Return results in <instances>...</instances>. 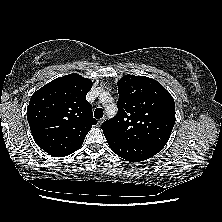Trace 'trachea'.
Listing matches in <instances>:
<instances>
[{"label": "trachea", "mask_w": 222, "mask_h": 222, "mask_svg": "<svg viewBox=\"0 0 222 222\" xmlns=\"http://www.w3.org/2000/svg\"><path fill=\"white\" fill-rule=\"evenodd\" d=\"M103 115H104V113H103V110H102L101 108H97V109L94 111V116H95V118H97V119L102 118Z\"/></svg>", "instance_id": "trachea-1"}]
</instances>
